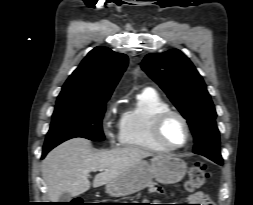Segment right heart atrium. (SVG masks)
Returning a JSON list of instances; mask_svg holds the SVG:
<instances>
[{
  "label": "right heart atrium",
  "mask_w": 253,
  "mask_h": 205,
  "mask_svg": "<svg viewBox=\"0 0 253 205\" xmlns=\"http://www.w3.org/2000/svg\"><path fill=\"white\" fill-rule=\"evenodd\" d=\"M110 115H111V110L108 109L106 111V113L104 115V119H103V131L109 140H113L115 137V133H114L113 127L111 125Z\"/></svg>",
  "instance_id": "right-heart-atrium-1"
}]
</instances>
